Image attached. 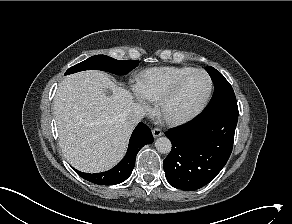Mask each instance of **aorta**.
<instances>
[{"instance_id": "obj_1", "label": "aorta", "mask_w": 292, "mask_h": 224, "mask_svg": "<svg viewBox=\"0 0 292 224\" xmlns=\"http://www.w3.org/2000/svg\"><path fill=\"white\" fill-rule=\"evenodd\" d=\"M155 147L158 152L167 154L171 151L172 144L167 137H160L156 140Z\"/></svg>"}]
</instances>
